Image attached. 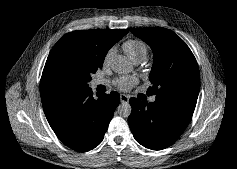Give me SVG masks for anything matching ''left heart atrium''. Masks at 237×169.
Segmentation results:
<instances>
[{"instance_id":"1","label":"left heart atrium","mask_w":237,"mask_h":169,"mask_svg":"<svg viewBox=\"0 0 237 169\" xmlns=\"http://www.w3.org/2000/svg\"><path fill=\"white\" fill-rule=\"evenodd\" d=\"M135 83H136V78L132 75L121 76L114 81V84L122 90L129 89Z\"/></svg>"}]
</instances>
